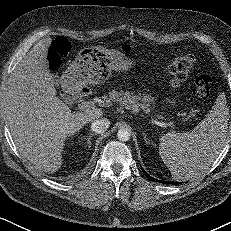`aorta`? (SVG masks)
I'll use <instances>...</instances> for the list:
<instances>
[{"mask_svg": "<svg viewBox=\"0 0 231 231\" xmlns=\"http://www.w3.org/2000/svg\"><path fill=\"white\" fill-rule=\"evenodd\" d=\"M117 137L120 141H128L130 138V132L127 129H119Z\"/></svg>", "mask_w": 231, "mask_h": 231, "instance_id": "1", "label": "aorta"}]
</instances>
